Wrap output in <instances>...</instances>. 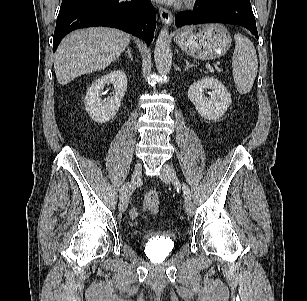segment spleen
<instances>
[{
  "instance_id": "spleen-1",
  "label": "spleen",
  "mask_w": 307,
  "mask_h": 301,
  "mask_svg": "<svg viewBox=\"0 0 307 301\" xmlns=\"http://www.w3.org/2000/svg\"><path fill=\"white\" fill-rule=\"evenodd\" d=\"M236 46L232 56L233 78L240 94H247L253 87L258 60L255 47L249 38L237 33Z\"/></svg>"
}]
</instances>
